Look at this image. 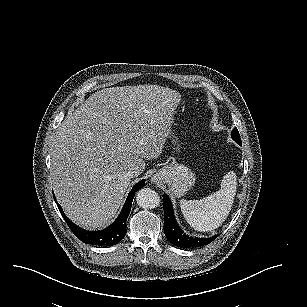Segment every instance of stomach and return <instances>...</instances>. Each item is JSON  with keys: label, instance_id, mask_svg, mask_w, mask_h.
Listing matches in <instances>:
<instances>
[{"label": "stomach", "instance_id": "0dacf381", "mask_svg": "<svg viewBox=\"0 0 307 307\" xmlns=\"http://www.w3.org/2000/svg\"><path fill=\"white\" fill-rule=\"evenodd\" d=\"M173 153L181 152V144L179 138L171 132ZM195 173L185 164L178 163L175 157L168 159V163L159 169L151 178V181L156 184H167L170 192L177 196H183L195 184Z\"/></svg>", "mask_w": 307, "mask_h": 307}]
</instances>
